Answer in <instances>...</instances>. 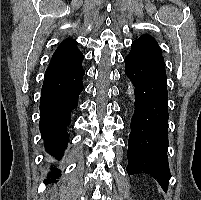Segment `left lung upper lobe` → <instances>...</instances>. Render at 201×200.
<instances>
[{"label":"left lung upper lobe","instance_id":"obj_1","mask_svg":"<svg viewBox=\"0 0 201 200\" xmlns=\"http://www.w3.org/2000/svg\"><path fill=\"white\" fill-rule=\"evenodd\" d=\"M130 53L143 57L162 56L157 41L148 34L142 35L132 43Z\"/></svg>","mask_w":201,"mask_h":200}]
</instances>
